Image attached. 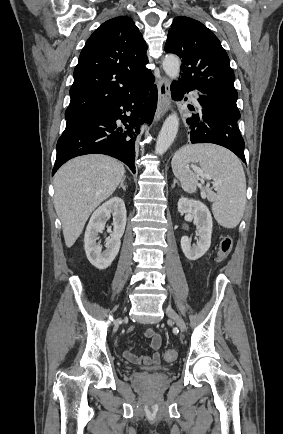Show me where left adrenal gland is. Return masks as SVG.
Here are the masks:
<instances>
[{
  "instance_id": "left-adrenal-gland-1",
  "label": "left adrenal gland",
  "mask_w": 283,
  "mask_h": 434,
  "mask_svg": "<svg viewBox=\"0 0 283 434\" xmlns=\"http://www.w3.org/2000/svg\"><path fill=\"white\" fill-rule=\"evenodd\" d=\"M176 183H178V182H177V180H176V179H174V182H173L172 188H174V187H175V184H176Z\"/></svg>"
}]
</instances>
